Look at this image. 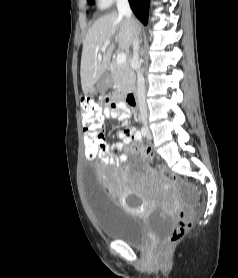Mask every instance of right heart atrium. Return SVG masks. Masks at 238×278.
Instances as JSON below:
<instances>
[{
	"instance_id": "obj_1",
	"label": "right heart atrium",
	"mask_w": 238,
	"mask_h": 278,
	"mask_svg": "<svg viewBox=\"0 0 238 278\" xmlns=\"http://www.w3.org/2000/svg\"><path fill=\"white\" fill-rule=\"evenodd\" d=\"M98 1L108 7L112 5L116 0H98Z\"/></svg>"
}]
</instances>
